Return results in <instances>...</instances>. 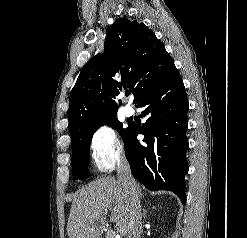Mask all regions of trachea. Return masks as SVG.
Wrapping results in <instances>:
<instances>
[{
	"label": "trachea",
	"instance_id": "obj_1",
	"mask_svg": "<svg viewBox=\"0 0 247 238\" xmlns=\"http://www.w3.org/2000/svg\"><path fill=\"white\" fill-rule=\"evenodd\" d=\"M129 94H130L129 92L126 93L127 96H128Z\"/></svg>",
	"mask_w": 247,
	"mask_h": 238
}]
</instances>
